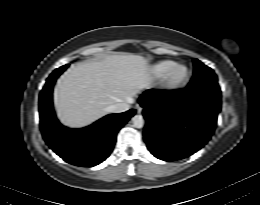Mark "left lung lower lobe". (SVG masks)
I'll return each mask as SVG.
<instances>
[{
	"label": "left lung lower lobe",
	"instance_id": "1",
	"mask_svg": "<svg viewBox=\"0 0 260 205\" xmlns=\"http://www.w3.org/2000/svg\"><path fill=\"white\" fill-rule=\"evenodd\" d=\"M146 119L144 140L158 159L174 161L202 148L214 132L221 93L187 87L147 90L139 98Z\"/></svg>",
	"mask_w": 260,
	"mask_h": 205
}]
</instances>
